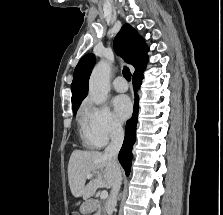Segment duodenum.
Returning <instances> with one entry per match:
<instances>
[{
    "mask_svg": "<svg viewBox=\"0 0 223 215\" xmlns=\"http://www.w3.org/2000/svg\"><path fill=\"white\" fill-rule=\"evenodd\" d=\"M94 208L93 201L90 199L85 200V210H92Z\"/></svg>",
    "mask_w": 223,
    "mask_h": 215,
    "instance_id": "1",
    "label": "duodenum"
}]
</instances>
